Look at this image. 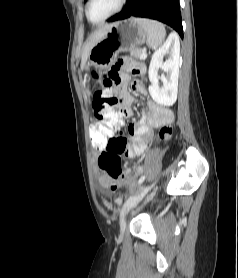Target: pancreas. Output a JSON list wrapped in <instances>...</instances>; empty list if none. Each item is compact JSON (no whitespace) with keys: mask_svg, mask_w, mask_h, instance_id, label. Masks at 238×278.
<instances>
[{"mask_svg":"<svg viewBox=\"0 0 238 278\" xmlns=\"http://www.w3.org/2000/svg\"><path fill=\"white\" fill-rule=\"evenodd\" d=\"M129 52L131 56L141 59L143 50L136 47V48H130Z\"/></svg>","mask_w":238,"mask_h":278,"instance_id":"cf45deb5","label":"pancreas"}]
</instances>
